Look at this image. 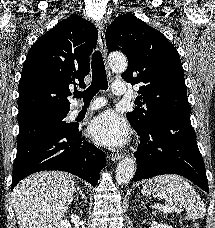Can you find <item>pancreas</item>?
Returning <instances> with one entry per match:
<instances>
[{
  "mask_svg": "<svg viewBox=\"0 0 215 228\" xmlns=\"http://www.w3.org/2000/svg\"><path fill=\"white\" fill-rule=\"evenodd\" d=\"M160 214H162L161 210H159Z\"/></svg>",
  "mask_w": 215,
  "mask_h": 228,
  "instance_id": "1",
  "label": "pancreas"
}]
</instances>
